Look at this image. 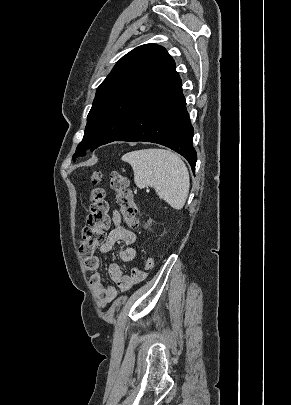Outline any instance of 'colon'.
<instances>
[{"instance_id":"1","label":"colon","mask_w":291,"mask_h":405,"mask_svg":"<svg viewBox=\"0 0 291 405\" xmlns=\"http://www.w3.org/2000/svg\"><path fill=\"white\" fill-rule=\"evenodd\" d=\"M101 178L102 174L99 171L94 172L91 176L94 187L90 193L91 204L87 217V225L82 231L79 245V253L84 260L94 256L98 247L104 242L105 231L110 225V209L106 198V191L103 187L98 186ZM109 184L111 189L116 193V201L121 208L124 221L128 226L134 227L136 225L138 210L133 195L128 188L127 178L115 171L110 174ZM154 265V258H147L141 268V272L150 271Z\"/></svg>"}]
</instances>
